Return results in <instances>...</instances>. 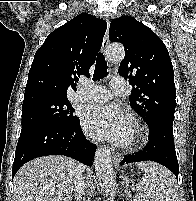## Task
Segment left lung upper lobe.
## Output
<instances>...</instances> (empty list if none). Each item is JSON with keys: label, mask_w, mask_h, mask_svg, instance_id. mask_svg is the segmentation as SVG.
<instances>
[{"label": "left lung upper lobe", "mask_w": 196, "mask_h": 201, "mask_svg": "<svg viewBox=\"0 0 196 201\" xmlns=\"http://www.w3.org/2000/svg\"><path fill=\"white\" fill-rule=\"evenodd\" d=\"M111 42L125 47L118 73L129 79L133 90L131 107L151 127L173 124L176 90L171 59L163 41L147 26L131 16L112 20Z\"/></svg>", "instance_id": "left-lung-upper-lobe-1"}]
</instances>
